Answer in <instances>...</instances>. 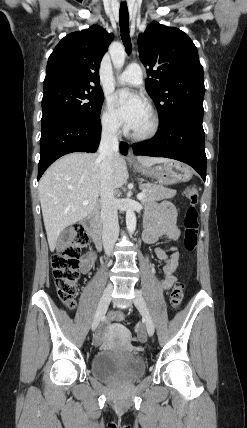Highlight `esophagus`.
Instances as JSON below:
<instances>
[{"label":"esophagus","mask_w":247,"mask_h":428,"mask_svg":"<svg viewBox=\"0 0 247 428\" xmlns=\"http://www.w3.org/2000/svg\"><path fill=\"white\" fill-rule=\"evenodd\" d=\"M128 159H129V161L130 162H133L134 160H133V152H132V149L131 148H129V151H128Z\"/></svg>","instance_id":"1"}]
</instances>
